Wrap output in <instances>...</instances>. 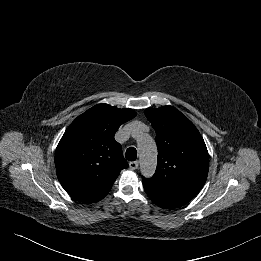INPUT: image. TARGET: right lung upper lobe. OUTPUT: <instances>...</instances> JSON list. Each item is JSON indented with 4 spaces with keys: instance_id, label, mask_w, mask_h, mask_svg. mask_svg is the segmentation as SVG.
I'll return each instance as SVG.
<instances>
[{
    "instance_id": "1",
    "label": "right lung upper lobe",
    "mask_w": 261,
    "mask_h": 261,
    "mask_svg": "<svg viewBox=\"0 0 261 261\" xmlns=\"http://www.w3.org/2000/svg\"><path fill=\"white\" fill-rule=\"evenodd\" d=\"M135 116L132 109L98 104L71 123L55 153L57 176L69 195L94 203L108 194L120 171L128 168L115 132Z\"/></svg>"
}]
</instances>
